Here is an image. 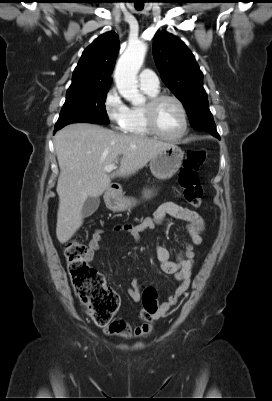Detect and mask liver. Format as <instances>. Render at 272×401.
Masks as SVG:
<instances>
[{"label": "liver", "mask_w": 272, "mask_h": 401, "mask_svg": "<svg viewBox=\"0 0 272 401\" xmlns=\"http://www.w3.org/2000/svg\"><path fill=\"white\" fill-rule=\"evenodd\" d=\"M171 144L138 135H125L90 123H73L54 139L60 174L56 236L66 243L83 223L86 199L99 197L114 177H126L142 169ZM120 163L113 173L104 167Z\"/></svg>", "instance_id": "obj_1"}]
</instances>
